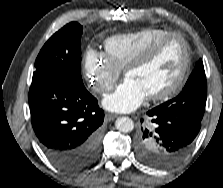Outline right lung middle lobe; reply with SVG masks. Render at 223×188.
<instances>
[{"label": "right lung middle lobe", "instance_id": "right-lung-middle-lobe-1", "mask_svg": "<svg viewBox=\"0 0 223 188\" xmlns=\"http://www.w3.org/2000/svg\"><path fill=\"white\" fill-rule=\"evenodd\" d=\"M83 27L71 22L52 35L35 61L33 77L56 79L84 90L81 76V35Z\"/></svg>", "mask_w": 223, "mask_h": 188}]
</instances>
